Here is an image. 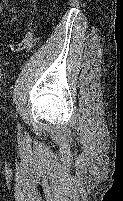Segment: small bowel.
Wrapping results in <instances>:
<instances>
[{
	"label": "small bowel",
	"instance_id": "small-bowel-1",
	"mask_svg": "<svg viewBox=\"0 0 123 201\" xmlns=\"http://www.w3.org/2000/svg\"><path fill=\"white\" fill-rule=\"evenodd\" d=\"M2 10L3 6L0 3V13L2 12ZM34 42L35 39L33 34L31 32H27L22 41L13 43L11 48L13 51H22V50L27 51L34 44ZM0 64L7 66L10 65L11 63L0 56Z\"/></svg>",
	"mask_w": 123,
	"mask_h": 201
}]
</instances>
